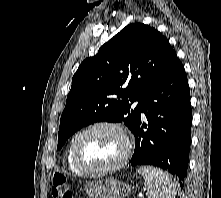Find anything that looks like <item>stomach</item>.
<instances>
[{
    "label": "stomach",
    "instance_id": "1",
    "mask_svg": "<svg viewBox=\"0 0 221 198\" xmlns=\"http://www.w3.org/2000/svg\"><path fill=\"white\" fill-rule=\"evenodd\" d=\"M85 190L91 198H125L132 192L130 185L113 178L88 182Z\"/></svg>",
    "mask_w": 221,
    "mask_h": 198
}]
</instances>
